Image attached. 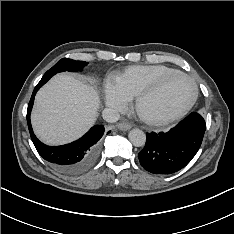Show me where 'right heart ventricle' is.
<instances>
[{
    "label": "right heart ventricle",
    "instance_id": "obj_1",
    "mask_svg": "<svg viewBox=\"0 0 234 234\" xmlns=\"http://www.w3.org/2000/svg\"><path fill=\"white\" fill-rule=\"evenodd\" d=\"M175 71L177 70L165 65L130 66L116 77L115 83L128 100H133L159 78Z\"/></svg>",
    "mask_w": 234,
    "mask_h": 234
}]
</instances>
